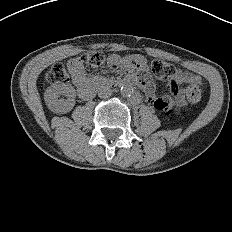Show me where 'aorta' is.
I'll return each instance as SVG.
<instances>
[{
  "label": "aorta",
  "instance_id": "1",
  "mask_svg": "<svg viewBox=\"0 0 232 232\" xmlns=\"http://www.w3.org/2000/svg\"><path fill=\"white\" fill-rule=\"evenodd\" d=\"M120 93L123 97H130L134 93V88L130 84L122 85Z\"/></svg>",
  "mask_w": 232,
  "mask_h": 232
}]
</instances>
